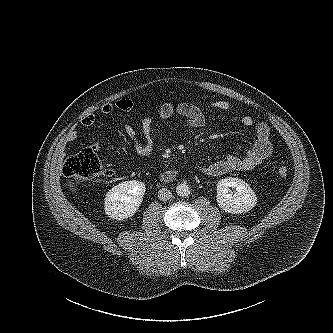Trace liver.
I'll list each match as a JSON object with an SVG mask.
<instances>
[{
  "mask_svg": "<svg viewBox=\"0 0 333 333\" xmlns=\"http://www.w3.org/2000/svg\"><path fill=\"white\" fill-rule=\"evenodd\" d=\"M68 186H69L70 188L72 187V188H71L72 191H75V188H74V186H73V183L69 182V183H68Z\"/></svg>",
  "mask_w": 333,
  "mask_h": 333,
  "instance_id": "liver-1",
  "label": "liver"
}]
</instances>
